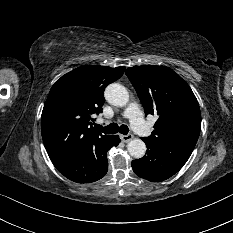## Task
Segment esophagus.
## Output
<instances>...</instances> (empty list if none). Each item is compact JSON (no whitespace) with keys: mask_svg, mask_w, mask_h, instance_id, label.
Segmentation results:
<instances>
[{"mask_svg":"<svg viewBox=\"0 0 233 233\" xmlns=\"http://www.w3.org/2000/svg\"><path fill=\"white\" fill-rule=\"evenodd\" d=\"M134 138L132 134H127V135H121V139L123 142H129Z\"/></svg>","mask_w":233,"mask_h":233,"instance_id":"1","label":"esophagus"}]
</instances>
